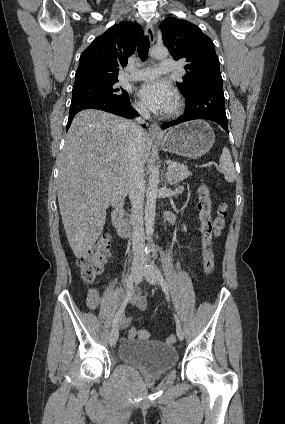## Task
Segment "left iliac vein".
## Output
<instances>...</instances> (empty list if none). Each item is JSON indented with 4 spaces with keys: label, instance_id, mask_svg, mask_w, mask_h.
<instances>
[{
    "label": "left iliac vein",
    "instance_id": "1",
    "mask_svg": "<svg viewBox=\"0 0 285 424\" xmlns=\"http://www.w3.org/2000/svg\"><path fill=\"white\" fill-rule=\"evenodd\" d=\"M147 282L152 284V285H158L159 284V279L158 276L152 272L147 278H146ZM176 335L178 337L179 340H183L184 339V331L181 327H177L176 329Z\"/></svg>",
    "mask_w": 285,
    "mask_h": 424
}]
</instances>
